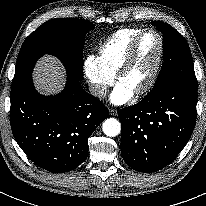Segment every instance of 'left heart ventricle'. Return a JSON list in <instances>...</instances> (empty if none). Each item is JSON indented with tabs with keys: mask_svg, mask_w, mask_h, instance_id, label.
<instances>
[{
	"mask_svg": "<svg viewBox=\"0 0 206 206\" xmlns=\"http://www.w3.org/2000/svg\"><path fill=\"white\" fill-rule=\"evenodd\" d=\"M159 52V41L155 34H146L140 42L135 58L119 83L133 93L149 79Z\"/></svg>",
	"mask_w": 206,
	"mask_h": 206,
	"instance_id": "obj_1",
	"label": "left heart ventricle"
}]
</instances>
